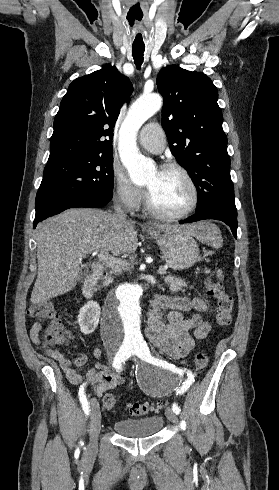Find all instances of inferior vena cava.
<instances>
[{"label": "inferior vena cava", "mask_w": 279, "mask_h": 490, "mask_svg": "<svg viewBox=\"0 0 279 490\" xmlns=\"http://www.w3.org/2000/svg\"><path fill=\"white\" fill-rule=\"evenodd\" d=\"M114 214L113 216H115V218H118V220H126L127 216L125 214V212H123V210H121V206H119V204H116V206H114Z\"/></svg>", "instance_id": "obj_1"}]
</instances>
